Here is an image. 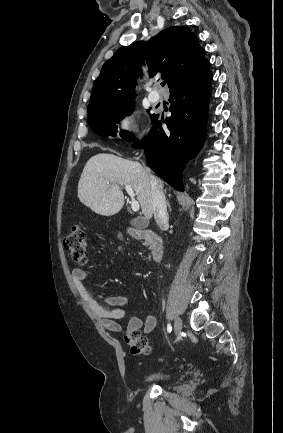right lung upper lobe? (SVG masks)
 I'll list each match as a JSON object with an SVG mask.
<instances>
[{
	"label": "right lung upper lobe",
	"mask_w": 283,
	"mask_h": 433,
	"mask_svg": "<svg viewBox=\"0 0 283 433\" xmlns=\"http://www.w3.org/2000/svg\"><path fill=\"white\" fill-rule=\"evenodd\" d=\"M205 50L188 27H169L151 38L118 49L103 65L88 105V114L134 102L140 63L146 61L151 76L162 72L169 90L187 88L210 75Z\"/></svg>",
	"instance_id": "cb5924a9"
}]
</instances>
